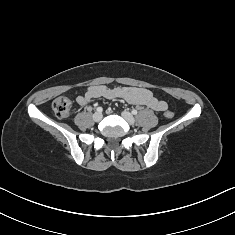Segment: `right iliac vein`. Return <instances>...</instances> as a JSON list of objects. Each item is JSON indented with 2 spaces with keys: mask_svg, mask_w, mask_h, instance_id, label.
<instances>
[{
  "mask_svg": "<svg viewBox=\"0 0 235 235\" xmlns=\"http://www.w3.org/2000/svg\"><path fill=\"white\" fill-rule=\"evenodd\" d=\"M103 115L101 112H96L93 114V120L99 122L102 119Z\"/></svg>",
  "mask_w": 235,
  "mask_h": 235,
  "instance_id": "63e3f726",
  "label": "right iliac vein"
}]
</instances>
